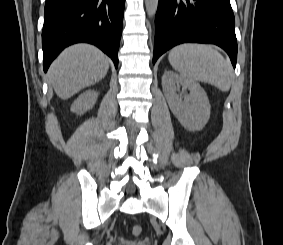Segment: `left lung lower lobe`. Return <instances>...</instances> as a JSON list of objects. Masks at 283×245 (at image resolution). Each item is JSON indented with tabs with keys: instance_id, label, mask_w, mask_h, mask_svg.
Returning a JSON list of instances; mask_svg holds the SVG:
<instances>
[{
	"instance_id": "obj_1",
	"label": "left lung lower lobe",
	"mask_w": 283,
	"mask_h": 245,
	"mask_svg": "<svg viewBox=\"0 0 283 245\" xmlns=\"http://www.w3.org/2000/svg\"><path fill=\"white\" fill-rule=\"evenodd\" d=\"M185 42L220 46L235 68L237 40L230 0H159L153 63L170 48Z\"/></svg>"
}]
</instances>
